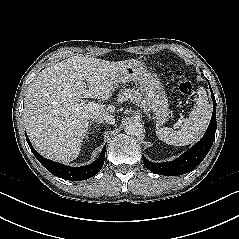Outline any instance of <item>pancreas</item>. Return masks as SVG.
I'll list each match as a JSON object with an SVG mask.
<instances>
[{
  "label": "pancreas",
  "instance_id": "obj_1",
  "mask_svg": "<svg viewBox=\"0 0 239 239\" xmlns=\"http://www.w3.org/2000/svg\"><path fill=\"white\" fill-rule=\"evenodd\" d=\"M127 100L132 101L142 108H147L146 101L143 99L142 95L134 88H123L120 90L117 101L122 103Z\"/></svg>",
  "mask_w": 239,
  "mask_h": 239
}]
</instances>
